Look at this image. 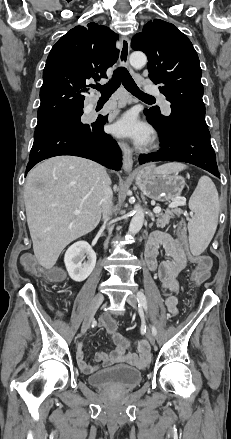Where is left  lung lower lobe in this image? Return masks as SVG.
<instances>
[{
	"label": "left lung lower lobe",
	"mask_w": 231,
	"mask_h": 439,
	"mask_svg": "<svg viewBox=\"0 0 231 439\" xmlns=\"http://www.w3.org/2000/svg\"><path fill=\"white\" fill-rule=\"evenodd\" d=\"M144 113L147 116L146 110ZM147 119L158 131L161 143L157 152L141 154L140 164L151 161H181L201 167L220 178L208 129L177 119L170 120L161 127L149 116Z\"/></svg>",
	"instance_id": "obj_1"
}]
</instances>
